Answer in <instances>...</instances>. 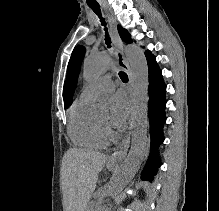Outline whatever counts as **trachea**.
Here are the masks:
<instances>
[{
  "mask_svg": "<svg viewBox=\"0 0 219 211\" xmlns=\"http://www.w3.org/2000/svg\"><path fill=\"white\" fill-rule=\"evenodd\" d=\"M89 7L99 16L101 24L104 27V31H105V42H106L107 47L110 49L111 48V39L109 37V32H108V28H107V24L105 22V19L102 17L100 6L99 5H89ZM119 76L124 83H127L128 76L125 72H123V71L119 72Z\"/></svg>",
  "mask_w": 219,
  "mask_h": 211,
  "instance_id": "1",
  "label": "trachea"
}]
</instances>
